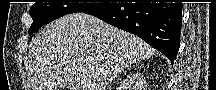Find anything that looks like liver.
Listing matches in <instances>:
<instances>
[{
  "instance_id": "6515ba94",
  "label": "liver",
  "mask_w": 216,
  "mask_h": 90,
  "mask_svg": "<svg viewBox=\"0 0 216 90\" xmlns=\"http://www.w3.org/2000/svg\"><path fill=\"white\" fill-rule=\"evenodd\" d=\"M143 40L88 14L45 26L28 56L30 90H108L117 74L152 56ZM67 86V88H65Z\"/></svg>"
}]
</instances>
